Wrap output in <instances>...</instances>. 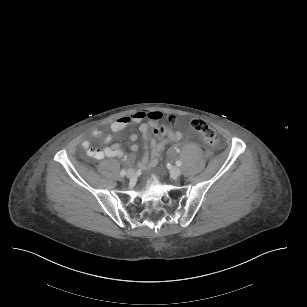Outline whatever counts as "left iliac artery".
Wrapping results in <instances>:
<instances>
[{
  "label": "left iliac artery",
  "instance_id": "obj_1",
  "mask_svg": "<svg viewBox=\"0 0 307 307\" xmlns=\"http://www.w3.org/2000/svg\"><path fill=\"white\" fill-rule=\"evenodd\" d=\"M176 165H177V166H181V165H182V162L178 160V161H176Z\"/></svg>",
  "mask_w": 307,
  "mask_h": 307
}]
</instances>
